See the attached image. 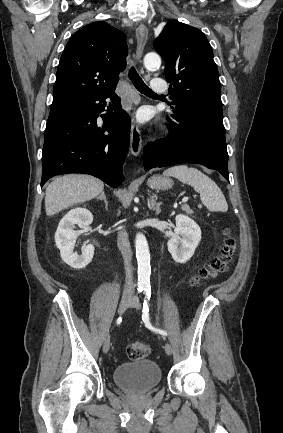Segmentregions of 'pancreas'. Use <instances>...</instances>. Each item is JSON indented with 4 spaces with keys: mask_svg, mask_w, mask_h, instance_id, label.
I'll use <instances>...</instances> for the list:
<instances>
[{
    "mask_svg": "<svg viewBox=\"0 0 283 433\" xmlns=\"http://www.w3.org/2000/svg\"><path fill=\"white\" fill-rule=\"evenodd\" d=\"M182 210H185V212H188V214H192L193 210L192 208H190V206H188V204H183V206H181Z\"/></svg>",
    "mask_w": 283,
    "mask_h": 433,
    "instance_id": "pancreas-1",
    "label": "pancreas"
}]
</instances>
